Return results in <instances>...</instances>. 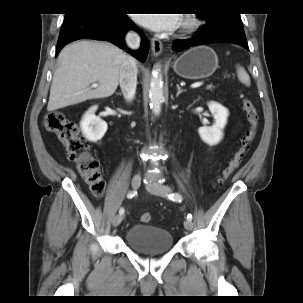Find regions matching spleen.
<instances>
[{"mask_svg":"<svg viewBox=\"0 0 303 303\" xmlns=\"http://www.w3.org/2000/svg\"><path fill=\"white\" fill-rule=\"evenodd\" d=\"M237 75L241 83L245 84L246 86H250V77L243 67L238 66Z\"/></svg>","mask_w":303,"mask_h":303,"instance_id":"1","label":"spleen"}]
</instances>
